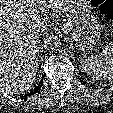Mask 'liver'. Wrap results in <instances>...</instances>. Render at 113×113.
Wrapping results in <instances>:
<instances>
[{
  "instance_id": "obj_1",
  "label": "liver",
  "mask_w": 113,
  "mask_h": 113,
  "mask_svg": "<svg viewBox=\"0 0 113 113\" xmlns=\"http://www.w3.org/2000/svg\"><path fill=\"white\" fill-rule=\"evenodd\" d=\"M64 5L65 0H0V88L17 95L32 89L40 31Z\"/></svg>"
}]
</instances>
